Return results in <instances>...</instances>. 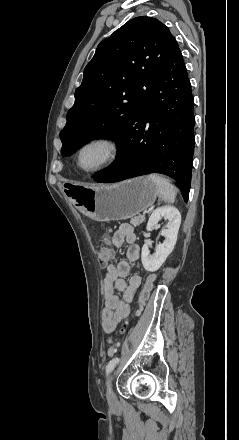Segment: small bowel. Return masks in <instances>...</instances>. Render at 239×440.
<instances>
[{
	"instance_id": "obj_1",
	"label": "small bowel",
	"mask_w": 239,
	"mask_h": 440,
	"mask_svg": "<svg viewBox=\"0 0 239 440\" xmlns=\"http://www.w3.org/2000/svg\"><path fill=\"white\" fill-rule=\"evenodd\" d=\"M112 243L115 248L127 243L128 248L126 252L127 260H122L118 264H110L105 269L103 281L104 308L101 312V320L102 328L107 334L113 333L119 323L129 315V304L142 283L141 277L136 274L126 280L140 256V248L136 244V234L133 226L130 224L120 225L113 234ZM113 257L114 253L112 251L111 258Z\"/></svg>"
}]
</instances>
